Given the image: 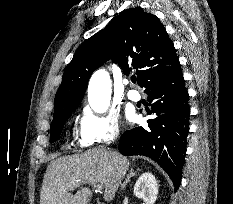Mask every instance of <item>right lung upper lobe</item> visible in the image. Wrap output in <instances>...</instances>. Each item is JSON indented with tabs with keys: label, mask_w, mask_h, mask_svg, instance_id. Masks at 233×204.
Returning <instances> with one entry per match:
<instances>
[{
	"label": "right lung upper lobe",
	"mask_w": 233,
	"mask_h": 204,
	"mask_svg": "<svg viewBox=\"0 0 233 204\" xmlns=\"http://www.w3.org/2000/svg\"><path fill=\"white\" fill-rule=\"evenodd\" d=\"M109 59L115 60L127 75L135 70L138 84L143 87L179 62L160 20L139 7L126 9L83 42L65 67L55 95L53 120L77 108L91 74Z\"/></svg>",
	"instance_id": "obj_1"
}]
</instances>
